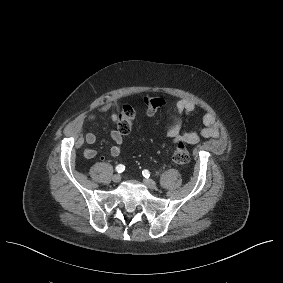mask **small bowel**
Instances as JSON below:
<instances>
[{
	"instance_id": "obj_1",
	"label": "small bowel",
	"mask_w": 283,
	"mask_h": 283,
	"mask_svg": "<svg viewBox=\"0 0 283 283\" xmlns=\"http://www.w3.org/2000/svg\"><path fill=\"white\" fill-rule=\"evenodd\" d=\"M195 109V104L186 98L179 99L175 104V112L178 116L190 115ZM109 116L111 121L116 122L118 119L117 105L114 102H105L101 105L98 111L90 114L86 121L96 123L102 117ZM83 121L76 119L68 126L70 135L77 137V146H82L84 143L92 145L97 140V134L93 131L87 132L84 136L81 135ZM220 135V123L213 113H206L203 116V125L192 131H184L180 118H177L174 124L167 130L166 136L174 143L184 142L187 144H197L201 138H217ZM112 145L109 148L111 156H118L122 151L123 136L118 130L110 132ZM97 152L92 147L84 149V156L87 159L96 157Z\"/></svg>"
}]
</instances>
